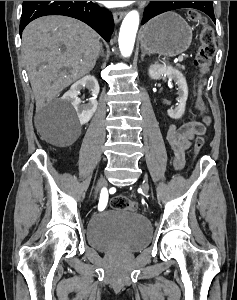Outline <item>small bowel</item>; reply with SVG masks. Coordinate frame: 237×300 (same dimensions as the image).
I'll list each match as a JSON object with an SVG mask.
<instances>
[{
  "instance_id": "obj_1",
  "label": "small bowel",
  "mask_w": 237,
  "mask_h": 300,
  "mask_svg": "<svg viewBox=\"0 0 237 300\" xmlns=\"http://www.w3.org/2000/svg\"><path fill=\"white\" fill-rule=\"evenodd\" d=\"M210 123L206 117L204 123L197 120H189L180 125L171 124L167 131V140L175 152L174 167L180 170L184 166V152L191 146V142L197 135L205 133V125Z\"/></svg>"
}]
</instances>
